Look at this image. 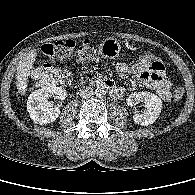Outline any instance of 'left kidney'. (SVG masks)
<instances>
[{"instance_id": "1", "label": "left kidney", "mask_w": 195, "mask_h": 195, "mask_svg": "<svg viewBox=\"0 0 195 195\" xmlns=\"http://www.w3.org/2000/svg\"><path fill=\"white\" fill-rule=\"evenodd\" d=\"M126 102L130 107L136 106V104L139 102L144 104V111L141 113L136 111L133 115L134 122L142 126L153 124L161 113V99L157 95L147 91L130 94L126 99Z\"/></svg>"}]
</instances>
